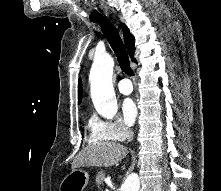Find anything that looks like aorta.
<instances>
[{
	"mask_svg": "<svg viewBox=\"0 0 221 191\" xmlns=\"http://www.w3.org/2000/svg\"><path fill=\"white\" fill-rule=\"evenodd\" d=\"M114 60L110 55L94 58L90 75L91 98L95 109L103 117L112 119L117 113V100L112 85ZM138 174L131 173L122 185V191H139Z\"/></svg>",
	"mask_w": 221,
	"mask_h": 191,
	"instance_id": "aorta-1",
	"label": "aorta"
}]
</instances>
